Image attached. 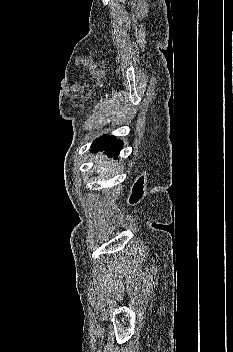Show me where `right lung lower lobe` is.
<instances>
[{"mask_svg":"<svg viewBox=\"0 0 233 352\" xmlns=\"http://www.w3.org/2000/svg\"><path fill=\"white\" fill-rule=\"evenodd\" d=\"M122 147L123 143L120 140H116V137L103 135L94 140L91 145V152L104 151L105 154L115 156L114 158L117 159Z\"/></svg>","mask_w":233,"mask_h":352,"instance_id":"obj_1","label":"right lung lower lobe"}]
</instances>
